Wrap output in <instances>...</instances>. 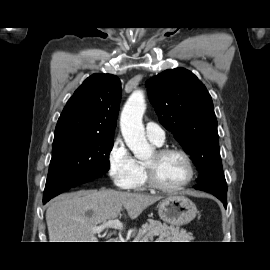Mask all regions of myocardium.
<instances>
[{
	"instance_id": "obj_1",
	"label": "myocardium",
	"mask_w": 270,
	"mask_h": 270,
	"mask_svg": "<svg viewBox=\"0 0 270 270\" xmlns=\"http://www.w3.org/2000/svg\"><path fill=\"white\" fill-rule=\"evenodd\" d=\"M155 153L158 157H162L171 153L179 154L180 156H182L187 165L188 175L187 178L182 183L176 186L172 187L164 186L161 183H159L158 180L156 179L153 167L148 163H144L146 182L151 188L164 193H175L183 190L188 185H190V183L193 181L195 177V167L190 155L184 149L179 147H160L155 151Z\"/></svg>"
}]
</instances>
